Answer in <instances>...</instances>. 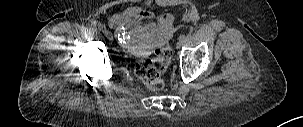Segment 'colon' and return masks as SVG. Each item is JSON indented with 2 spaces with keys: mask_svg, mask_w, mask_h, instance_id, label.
I'll list each match as a JSON object with an SVG mask.
<instances>
[{
  "mask_svg": "<svg viewBox=\"0 0 303 127\" xmlns=\"http://www.w3.org/2000/svg\"><path fill=\"white\" fill-rule=\"evenodd\" d=\"M172 50L160 47L152 58L141 59L135 66V75L149 90L160 91L164 88L163 73L172 60Z\"/></svg>",
  "mask_w": 303,
  "mask_h": 127,
  "instance_id": "5ec220e1",
  "label": "colon"
}]
</instances>
